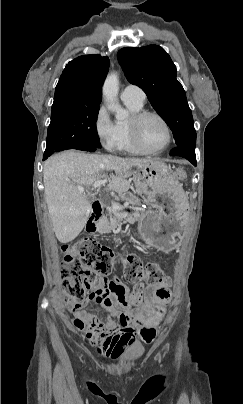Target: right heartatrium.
Wrapping results in <instances>:
<instances>
[{
  "mask_svg": "<svg viewBox=\"0 0 243 404\" xmlns=\"http://www.w3.org/2000/svg\"><path fill=\"white\" fill-rule=\"evenodd\" d=\"M93 128L97 141L104 150L111 153L119 152L117 126L105 105H100L95 111Z\"/></svg>",
  "mask_w": 243,
  "mask_h": 404,
  "instance_id": "obj_1",
  "label": "right heart atrium"
}]
</instances>
